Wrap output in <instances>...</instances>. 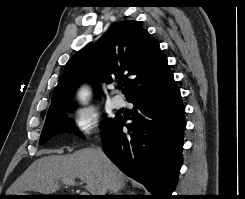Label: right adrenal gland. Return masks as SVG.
I'll return each instance as SVG.
<instances>
[{"label": "right adrenal gland", "instance_id": "1", "mask_svg": "<svg viewBox=\"0 0 245 199\" xmlns=\"http://www.w3.org/2000/svg\"><path fill=\"white\" fill-rule=\"evenodd\" d=\"M117 195H123V194H121V193H118Z\"/></svg>", "mask_w": 245, "mask_h": 199}]
</instances>
